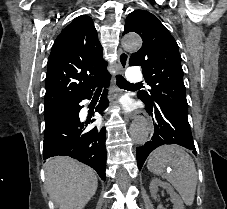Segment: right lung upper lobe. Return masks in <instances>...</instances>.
<instances>
[{
  "instance_id": "right-lung-upper-lobe-1",
  "label": "right lung upper lobe",
  "mask_w": 227,
  "mask_h": 209,
  "mask_svg": "<svg viewBox=\"0 0 227 209\" xmlns=\"http://www.w3.org/2000/svg\"><path fill=\"white\" fill-rule=\"evenodd\" d=\"M102 46L89 16L75 18L56 38L47 63L44 108L86 94L109 76Z\"/></svg>"
}]
</instances>
